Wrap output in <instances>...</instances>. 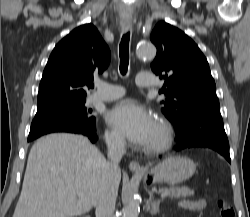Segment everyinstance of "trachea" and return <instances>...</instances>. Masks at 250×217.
Here are the masks:
<instances>
[{
  "mask_svg": "<svg viewBox=\"0 0 250 217\" xmlns=\"http://www.w3.org/2000/svg\"><path fill=\"white\" fill-rule=\"evenodd\" d=\"M129 40H130V33L127 32L122 36L119 45L120 72L123 75L126 74L129 64Z\"/></svg>",
  "mask_w": 250,
  "mask_h": 217,
  "instance_id": "3493384b",
  "label": "trachea"
}]
</instances>
